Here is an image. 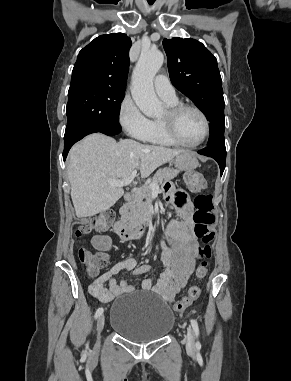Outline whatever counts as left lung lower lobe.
<instances>
[{
    "label": "left lung lower lobe",
    "mask_w": 291,
    "mask_h": 381,
    "mask_svg": "<svg viewBox=\"0 0 291 381\" xmlns=\"http://www.w3.org/2000/svg\"><path fill=\"white\" fill-rule=\"evenodd\" d=\"M198 153L214 158L220 166L221 175L223 174V171L225 169V163H226V148H225V146H217V147H208L207 146L206 148L199 150Z\"/></svg>",
    "instance_id": "0a47b994"
}]
</instances>
